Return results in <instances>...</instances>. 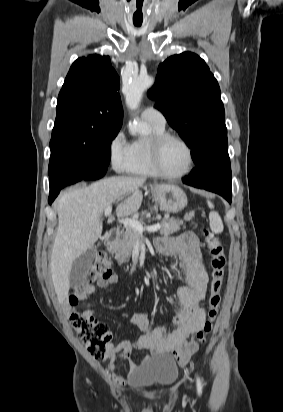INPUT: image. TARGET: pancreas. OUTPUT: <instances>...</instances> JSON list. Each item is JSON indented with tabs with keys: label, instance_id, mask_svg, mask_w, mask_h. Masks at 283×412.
Segmentation results:
<instances>
[{
	"label": "pancreas",
	"instance_id": "cf45deb5",
	"mask_svg": "<svg viewBox=\"0 0 283 412\" xmlns=\"http://www.w3.org/2000/svg\"><path fill=\"white\" fill-rule=\"evenodd\" d=\"M193 217L194 212H190L189 214H185L184 220L190 221ZM160 225V233L167 236L180 230L181 225H183V221L176 219L174 217L170 219L165 217L161 220ZM138 235V231L127 226L125 228V232L121 235V237L119 239H116L112 243V246L110 247V252L115 254V259L118 261L119 264L129 261L132 250L137 242Z\"/></svg>",
	"mask_w": 283,
	"mask_h": 412
}]
</instances>
